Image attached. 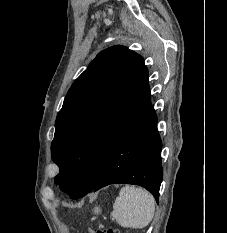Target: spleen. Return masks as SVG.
Returning a JSON list of instances; mask_svg holds the SVG:
<instances>
[{
  "label": "spleen",
  "mask_w": 227,
  "mask_h": 233,
  "mask_svg": "<svg viewBox=\"0 0 227 233\" xmlns=\"http://www.w3.org/2000/svg\"><path fill=\"white\" fill-rule=\"evenodd\" d=\"M155 200L143 188L124 186L113 204L111 216L124 228L142 229L153 219Z\"/></svg>",
  "instance_id": "obj_1"
}]
</instances>
